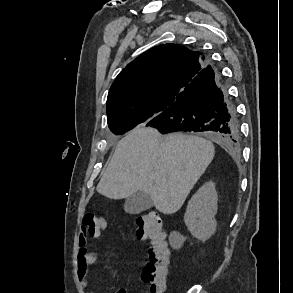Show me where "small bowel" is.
Returning <instances> with one entry per match:
<instances>
[{
  "mask_svg": "<svg viewBox=\"0 0 293 293\" xmlns=\"http://www.w3.org/2000/svg\"><path fill=\"white\" fill-rule=\"evenodd\" d=\"M106 229V228H105ZM88 239L82 231L79 234L78 241H77V273L80 279L81 285L84 288L89 286L87 275L89 272V266L98 262L99 257L98 254L95 252H91L88 250ZM110 251L116 253V250L111 248ZM94 293V292H88ZM116 293H127L125 289H119Z\"/></svg>",
  "mask_w": 293,
  "mask_h": 293,
  "instance_id": "c3829d8e",
  "label": "small bowel"
}]
</instances>
